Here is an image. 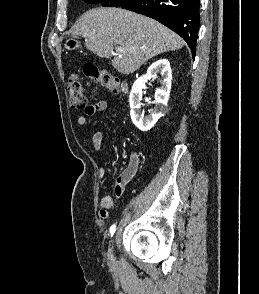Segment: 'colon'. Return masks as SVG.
I'll use <instances>...</instances> for the list:
<instances>
[{
	"label": "colon",
	"mask_w": 259,
	"mask_h": 294,
	"mask_svg": "<svg viewBox=\"0 0 259 294\" xmlns=\"http://www.w3.org/2000/svg\"><path fill=\"white\" fill-rule=\"evenodd\" d=\"M84 76L102 87L116 92L119 88V79L107 70H102L94 65H86L83 68ZM69 102L72 108L86 109L87 101L84 93L83 84L77 75H72L67 85Z\"/></svg>",
	"instance_id": "5ec220e1"
}]
</instances>
